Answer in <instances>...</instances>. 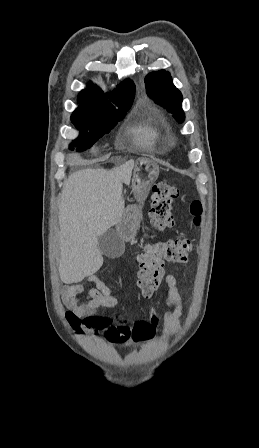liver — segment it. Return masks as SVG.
<instances>
[{"mask_svg": "<svg viewBox=\"0 0 259 448\" xmlns=\"http://www.w3.org/2000/svg\"><path fill=\"white\" fill-rule=\"evenodd\" d=\"M134 160L114 170H79L70 174L59 196L60 260L63 284L93 276L103 264L98 236L116 226L124 214L122 184L130 182Z\"/></svg>", "mask_w": 259, "mask_h": 448, "instance_id": "1", "label": "liver"}]
</instances>
